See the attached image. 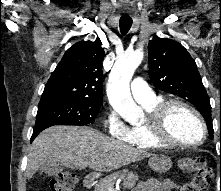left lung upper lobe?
Segmentation results:
<instances>
[{"label": "left lung upper lobe", "mask_w": 221, "mask_h": 191, "mask_svg": "<svg viewBox=\"0 0 221 191\" xmlns=\"http://www.w3.org/2000/svg\"><path fill=\"white\" fill-rule=\"evenodd\" d=\"M149 77L154 86L191 102L207 121L213 138L211 106L197 65L177 41L158 38L149 41Z\"/></svg>", "instance_id": "obj_1"}]
</instances>
